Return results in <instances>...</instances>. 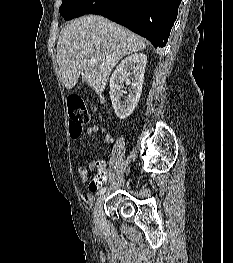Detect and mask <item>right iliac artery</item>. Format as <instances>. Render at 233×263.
<instances>
[{"mask_svg": "<svg viewBox=\"0 0 233 263\" xmlns=\"http://www.w3.org/2000/svg\"><path fill=\"white\" fill-rule=\"evenodd\" d=\"M106 191V187H103L100 189V191L98 192V195H103Z\"/></svg>", "mask_w": 233, "mask_h": 263, "instance_id": "right-iliac-artery-1", "label": "right iliac artery"}]
</instances>
